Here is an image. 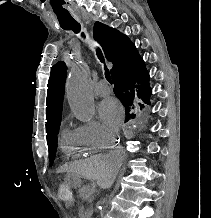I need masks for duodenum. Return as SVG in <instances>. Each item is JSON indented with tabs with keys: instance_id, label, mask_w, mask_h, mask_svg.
Segmentation results:
<instances>
[{
	"instance_id": "obj_1",
	"label": "duodenum",
	"mask_w": 211,
	"mask_h": 218,
	"mask_svg": "<svg viewBox=\"0 0 211 218\" xmlns=\"http://www.w3.org/2000/svg\"><path fill=\"white\" fill-rule=\"evenodd\" d=\"M92 215H93V209H87V210L85 211V216H86V218H91Z\"/></svg>"
}]
</instances>
